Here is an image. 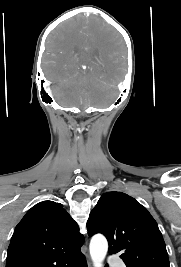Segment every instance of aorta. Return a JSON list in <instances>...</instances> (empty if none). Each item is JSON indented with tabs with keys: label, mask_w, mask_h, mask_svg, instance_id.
<instances>
[{
	"label": "aorta",
	"mask_w": 181,
	"mask_h": 267,
	"mask_svg": "<svg viewBox=\"0 0 181 267\" xmlns=\"http://www.w3.org/2000/svg\"><path fill=\"white\" fill-rule=\"evenodd\" d=\"M108 251V243L106 238L97 234L90 241V256L94 267H103V261Z\"/></svg>",
	"instance_id": "762f6f07"
}]
</instances>
